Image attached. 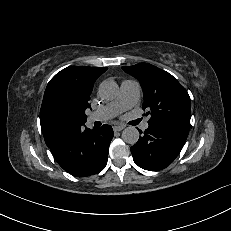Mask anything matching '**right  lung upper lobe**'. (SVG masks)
Here are the masks:
<instances>
[{
    "label": "right lung upper lobe",
    "mask_w": 231,
    "mask_h": 231,
    "mask_svg": "<svg viewBox=\"0 0 231 231\" xmlns=\"http://www.w3.org/2000/svg\"><path fill=\"white\" fill-rule=\"evenodd\" d=\"M106 67L72 66L58 72L48 83L40 110V124L49 148L61 144L75 126L83 125L96 79Z\"/></svg>",
    "instance_id": "obj_1"
}]
</instances>
